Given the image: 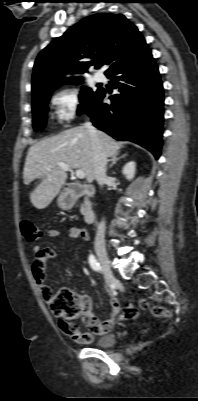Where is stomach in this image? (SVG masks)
I'll return each instance as SVG.
<instances>
[{"label": "stomach", "instance_id": "1", "mask_svg": "<svg viewBox=\"0 0 198 401\" xmlns=\"http://www.w3.org/2000/svg\"><path fill=\"white\" fill-rule=\"evenodd\" d=\"M58 206L63 210H69L74 205L73 199L65 193H61L57 199Z\"/></svg>", "mask_w": 198, "mask_h": 401}]
</instances>
